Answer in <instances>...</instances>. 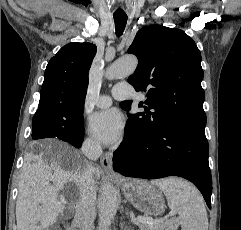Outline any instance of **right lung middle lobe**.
I'll return each instance as SVG.
<instances>
[{
	"instance_id": "obj_1",
	"label": "right lung middle lobe",
	"mask_w": 241,
	"mask_h": 230,
	"mask_svg": "<svg viewBox=\"0 0 241 230\" xmlns=\"http://www.w3.org/2000/svg\"><path fill=\"white\" fill-rule=\"evenodd\" d=\"M83 109L60 108L39 115L32 120V138L56 137L63 141L81 142L84 139ZM56 133V135H52Z\"/></svg>"
}]
</instances>
